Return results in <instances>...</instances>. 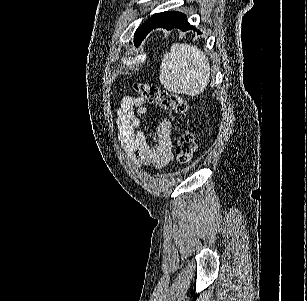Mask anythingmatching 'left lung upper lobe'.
Instances as JSON below:
<instances>
[{"instance_id":"left-lung-upper-lobe-1","label":"left lung upper lobe","mask_w":307,"mask_h":301,"mask_svg":"<svg viewBox=\"0 0 307 301\" xmlns=\"http://www.w3.org/2000/svg\"><path fill=\"white\" fill-rule=\"evenodd\" d=\"M163 13H156L154 14L151 18H149L143 25H141L135 32V35H134V41H135V44L138 46L141 41L146 37V35L149 33V29H150V26L151 24L157 20L159 17H161Z\"/></svg>"}]
</instances>
